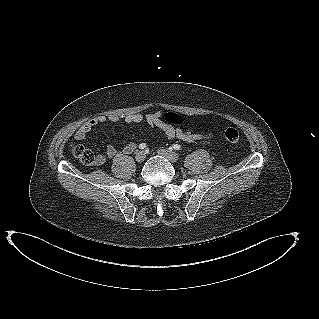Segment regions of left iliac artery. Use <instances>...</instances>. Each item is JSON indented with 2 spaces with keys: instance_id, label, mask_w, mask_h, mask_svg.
<instances>
[{
  "instance_id": "left-iliac-artery-1",
  "label": "left iliac artery",
  "mask_w": 319,
  "mask_h": 319,
  "mask_svg": "<svg viewBox=\"0 0 319 319\" xmlns=\"http://www.w3.org/2000/svg\"><path fill=\"white\" fill-rule=\"evenodd\" d=\"M172 148H173L174 150H180V149H181V146L178 145V144H174V145L172 146Z\"/></svg>"
}]
</instances>
